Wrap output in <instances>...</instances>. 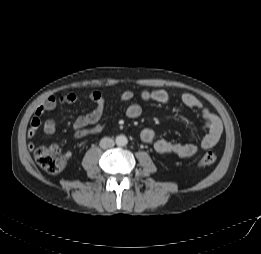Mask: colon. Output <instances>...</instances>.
<instances>
[{
    "mask_svg": "<svg viewBox=\"0 0 261 254\" xmlns=\"http://www.w3.org/2000/svg\"><path fill=\"white\" fill-rule=\"evenodd\" d=\"M34 157L37 164L48 173H58L63 170L66 158L58 145L49 144L35 148ZM216 161V154L205 153L199 160L198 166L204 167L212 165Z\"/></svg>",
    "mask_w": 261,
    "mask_h": 254,
    "instance_id": "5ec220e1",
    "label": "colon"
}]
</instances>
